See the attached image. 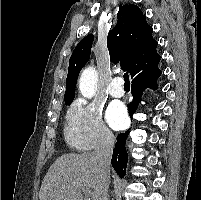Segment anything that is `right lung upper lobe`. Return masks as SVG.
Masks as SVG:
<instances>
[{
	"label": "right lung upper lobe",
	"mask_w": 201,
	"mask_h": 200,
	"mask_svg": "<svg viewBox=\"0 0 201 200\" xmlns=\"http://www.w3.org/2000/svg\"><path fill=\"white\" fill-rule=\"evenodd\" d=\"M152 27L136 5H123L117 13V24L108 33L107 47L113 62L121 61L122 69L135 75L155 66L160 61ZM94 36L89 34L75 47L66 79L64 100L74 99L79 72L90 58Z\"/></svg>",
	"instance_id": "right-lung-upper-lobe-1"
}]
</instances>
